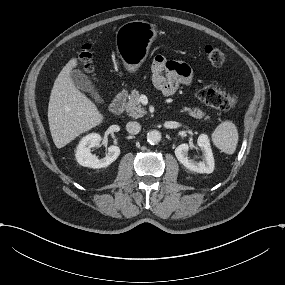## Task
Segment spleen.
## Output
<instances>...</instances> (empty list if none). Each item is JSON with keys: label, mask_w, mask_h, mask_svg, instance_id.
Segmentation results:
<instances>
[{"label": "spleen", "mask_w": 285, "mask_h": 285, "mask_svg": "<svg viewBox=\"0 0 285 285\" xmlns=\"http://www.w3.org/2000/svg\"><path fill=\"white\" fill-rule=\"evenodd\" d=\"M214 145L226 154H233L238 143V131L231 121H224L219 124L212 133Z\"/></svg>", "instance_id": "1"}]
</instances>
